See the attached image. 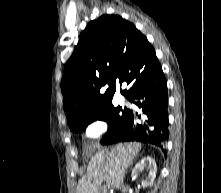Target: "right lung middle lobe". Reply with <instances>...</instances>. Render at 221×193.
<instances>
[{
    "label": "right lung middle lobe",
    "instance_id": "right-lung-middle-lobe-1",
    "mask_svg": "<svg viewBox=\"0 0 221 193\" xmlns=\"http://www.w3.org/2000/svg\"><path fill=\"white\" fill-rule=\"evenodd\" d=\"M129 113V109L114 107L111 103L102 109L83 115L80 118L78 117L69 127L74 132H82L88 124L95 120L106 121L109 124V129L102 140L103 143V141L106 139H110L116 135L118 131L125 125Z\"/></svg>",
    "mask_w": 221,
    "mask_h": 193
}]
</instances>
